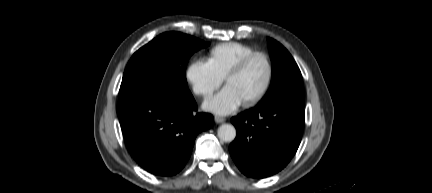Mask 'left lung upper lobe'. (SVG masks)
<instances>
[{
	"mask_svg": "<svg viewBox=\"0 0 432 193\" xmlns=\"http://www.w3.org/2000/svg\"><path fill=\"white\" fill-rule=\"evenodd\" d=\"M272 61V80L268 93L258 106L270 103L304 107L301 72L290 53L276 40L267 38Z\"/></svg>",
	"mask_w": 432,
	"mask_h": 193,
	"instance_id": "5c2ea615",
	"label": "left lung upper lobe"
}]
</instances>
